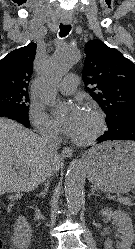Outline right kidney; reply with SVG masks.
Returning a JSON list of instances; mask_svg holds the SVG:
<instances>
[{
	"instance_id": "1",
	"label": "right kidney",
	"mask_w": 135,
	"mask_h": 249,
	"mask_svg": "<svg viewBox=\"0 0 135 249\" xmlns=\"http://www.w3.org/2000/svg\"><path fill=\"white\" fill-rule=\"evenodd\" d=\"M31 236L32 230L26 218L19 216L13 233L14 246L17 249H26L31 241Z\"/></svg>"
}]
</instances>
